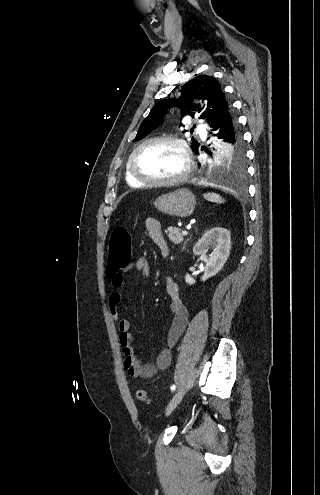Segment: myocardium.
<instances>
[{
	"label": "myocardium",
	"mask_w": 320,
	"mask_h": 495,
	"mask_svg": "<svg viewBox=\"0 0 320 495\" xmlns=\"http://www.w3.org/2000/svg\"><path fill=\"white\" fill-rule=\"evenodd\" d=\"M154 142H169L173 145H175L181 152L184 160V167L182 171L175 177L170 178V179H150L147 178L143 175H141L137 168H136V156L138 152L145 147L148 144L154 143ZM128 167L130 174L132 177L138 181L139 183L146 185V186H174L177 185L181 182H183L189 175L191 168H192V159H191V154L189 151V148L187 144L180 138L171 136V135H159V136H154L151 138H148L144 141H142L138 146L135 147V149L132 151V153L129 156L128 159Z\"/></svg>",
	"instance_id": "1"
}]
</instances>
